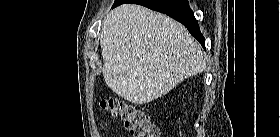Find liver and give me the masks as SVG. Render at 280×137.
<instances>
[{"label": "liver", "instance_id": "6515ba94", "mask_svg": "<svg viewBox=\"0 0 280 137\" xmlns=\"http://www.w3.org/2000/svg\"><path fill=\"white\" fill-rule=\"evenodd\" d=\"M100 46L106 84L134 104L154 101L206 69L201 45L183 25L140 5L109 13Z\"/></svg>", "mask_w": 280, "mask_h": 137}]
</instances>
